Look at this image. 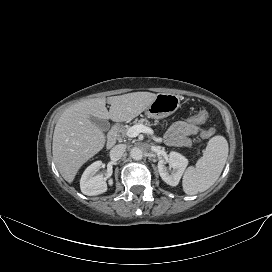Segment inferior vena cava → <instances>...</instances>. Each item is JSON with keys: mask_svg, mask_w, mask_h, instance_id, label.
<instances>
[{"mask_svg": "<svg viewBox=\"0 0 272 272\" xmlns=\"http://www.w3.org/2000/svg\"><path fill=\"white\" fill-rule=\"evenodd\" d=\"M126 150V145L118 144L114 146L110 151V158L114 161L119 160Z\"/></svg>", "mask_w": 272, "mask_h": 272, "instance_id": "inferior-vena-cava-1", "label": "inferior vena cava"}]
</instances>
